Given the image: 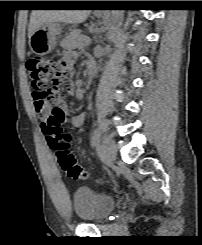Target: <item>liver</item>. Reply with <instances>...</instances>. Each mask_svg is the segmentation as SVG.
<instances>
[{
    "mask_svg": "<svg viewBox=\"0 0 202 245\" xmlns=\"http://www.w3.org/2000/svg\"><path fill=\"white\" fill-rule=\"evenodd\" d=\"M90 10H33L30 16L28 37L47 22L73 23L84 22Z\"/></svg>",
    "mask_w": 202,
    "mask_h": 245,
    "instance_id": "1",
    "label": "liver"
}]
</instances>
